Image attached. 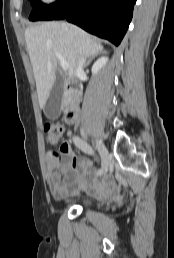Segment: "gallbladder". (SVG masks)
<instances>
[{"instance_id": "gallbladder-1", "label": "gallbladder", "mask_w": 174, "mask_h": 258, "mask_svg": "<svg viewBox=\"0 0 174 258\" xmlns=\"http://www.w3.org/2000/svg\"><path fill=\"white\" fill-rule=\"evenodd\" d=\"M63 92V82L61 80L56 81L44 107V114L48 119L55 120L61 115Z\"/></svg>"}]
</instances>
